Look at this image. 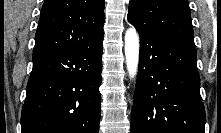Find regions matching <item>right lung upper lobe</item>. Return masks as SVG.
<instances>
[{
	"instance_id": "1",
	"label": "right lung upper lobe",
	"mask_w": 221,
	"mask_h": 133,
	"mask_svg": "<svg viewBox=\"0 0 221 133\" xmlns=\"http://www.w3.org/2000/svg\"><path fill=\"white\" fill-rule=\"evenodd\" d=\"M103 26L104 0H45L33 55L79 47Z\"/></svg>"
}]
</instances>
